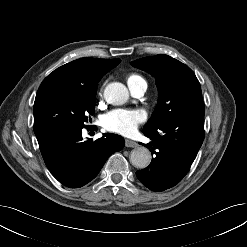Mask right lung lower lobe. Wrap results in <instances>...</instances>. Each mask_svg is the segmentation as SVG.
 I'll return each instance as SVG.
<instances>
[{"mask_svg": "<svg viewBox=\"0 0 247 247\" xmlns=\"http://www.w3.org/2000/svg\"><path fill=\"white\" fill-rule=\"evenodd\" d=\"M41 154L53 176L64 186L79 188L93 180L108 157L124 147V139L104 134L83 141L82 129L62 126L34 128Z\"/></svg>", "mask_w": 247, "mask_h": 247, "instance_id": "obj_1", "label": "right lung lower lobe"}]
</instances>
